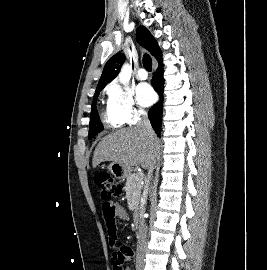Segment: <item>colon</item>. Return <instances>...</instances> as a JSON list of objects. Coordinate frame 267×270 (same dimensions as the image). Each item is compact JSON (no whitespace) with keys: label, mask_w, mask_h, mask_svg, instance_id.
<instances>
[{"label":"colon","mask_w":267,"mask_h":270,"mask_svg":"<svg viewBox=\"0 0 267 270\" xmlns=\"http://www.w3.org/2000/svg\"><path fill=\"white\" fill-rule=\"evenodd\" d=\"M94 182L96 187L99 189L101 199L104 202H108L112 198H115L121 194V186L108 173L97 174L94 178ZM111 262L113 270H122V258L120 256L114 255L111 258Z\"/></svg>","instance_id":"1"}]
</instances>
